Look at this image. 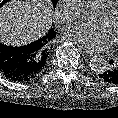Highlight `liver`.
Returning <instances> with one entry per match:
<instances>
[{
	"label": "liver",
	"instance_id": "liver-1",
	"mask_svg": "<svg viewBox=\"0 0 118 118\" xmlns=\"http://www.w3.org/2000/svg\"><path fill=\"white\" fill-rule=\"evenodd\" d=\"M50 0H11L0 9V42L29 44L45 35L52 24Z\"/></svg>",
	"mask_w": 118,
	"mask_h": 118
}]
</instances>
